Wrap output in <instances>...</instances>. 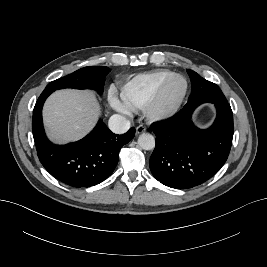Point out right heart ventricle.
<instances>
[{"label":"right heart ventricle","instance_id":"obj_1","mask_svg":"<svg viewBox=\"0 0 267 267\" xmlns=\"http://www.w3.org/2000/svg\"><path fill=\"white\" fill-rule=\"evenodd\" d=\"M173 74L169 70H159L134 76L121 87L123 104L132 111L144 109L160 84Z\"/></svg>","mask_w":267,"mask_h":267}]
</instances>
